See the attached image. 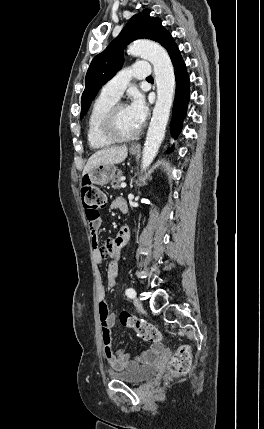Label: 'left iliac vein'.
<instances>
[{"label":"left iliac vein","mask_w":264,"mask_h":429,"mask_svg":"<svg viewBox=\"0 0 264 429\" xmlns=\"http://www.w3.org/2000/svg\"><path fill=\"white\" fill-rule=\"evenodd\" d=\"M133 303H134L136 308H138V309L142 308V303L138 298H134Z\"/></svg>","instance_id":"obj_1"}]
</instances>
